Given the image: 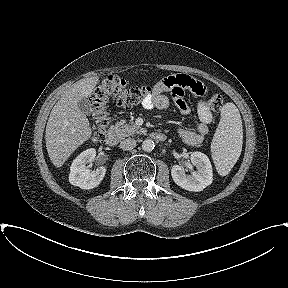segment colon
<instances>
[{
	"label": "colon",
	"instance_id": "obj_1",
	"mask_svg": "<svg viewBox=\"0 0 288 288\" xmlns=\"http://www.w3.org/2000/svg\"><path fill=\"white\" fill-rule=\"evenodd\" d=\"M152 93L149 86L131 87L127 82L117 76H107L94 90L91 96L93 123V139L101 141L105 137L110 124V115L107 103L110 99L115 100L120 106L132 107L142 103ZM223 105V98L220 94H214L209 100L208 106L218 111Z\"/></svg>",
	"mask_w": 288,
	"mask_h": 288
}]
</instances>
